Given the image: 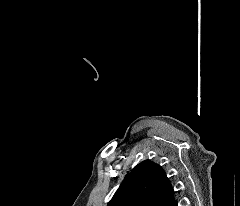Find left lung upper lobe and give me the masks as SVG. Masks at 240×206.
<instances>
[{
	"mask_svg": "<svg viewBox=\"0 0 240 206\" xmlns=\"http://www.w3.org/2000/svg\"><path fill=\"white\" fill-rule=\"evenodd\" d=\"M173 187L162 167L150 160L128 173L107 206H172Z\"/></svg>",
	"mask_w": 240,
	"mask_h": 206,
	"instance_id": "obj_1",
	"label": "left lung upper lobe"
}]
</instances>
